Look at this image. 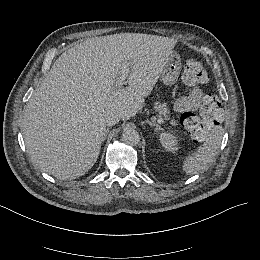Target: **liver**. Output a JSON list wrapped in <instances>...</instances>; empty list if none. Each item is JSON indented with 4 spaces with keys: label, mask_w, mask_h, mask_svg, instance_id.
<instances>
[{
    "label": "liver",
    "mask_w": 260,
    "mask_h": 260,
    "mask_svg": "<svg viewBox=\"0 0 260 260\" xmlns=\"http://www.w3.org/2000/svg\"><path fill=\"white\" fill-rule=\"evenodd\" d=\"M174 38L119 33L88 38L68 49L29 99L22 121L35 167L76 179L96 163L111 112L129 120L142 108L176 45ZM128 66V86L115 88Z\"/></svg>",
    "instance_id": "1"
}]
</instances>
